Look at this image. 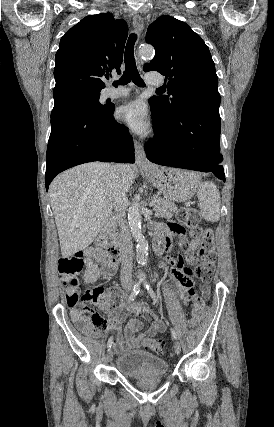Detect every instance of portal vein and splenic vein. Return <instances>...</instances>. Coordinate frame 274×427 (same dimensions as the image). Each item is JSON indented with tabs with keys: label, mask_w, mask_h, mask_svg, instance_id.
Instances as JSON below:
<instances>
[{
	"label": "portal vein and splenic vein",
	"mask_w": 274,
	"mask_h": 427,
	"mask_svg": "<svg viewBox=\"0 0 274 427\" xmlns=\"http://www.w3.org/2000/svg\"><path fill=\"white\" fill-rule=\"evenodd\" d=\"M155 202H150V206H154Z\"/></svg>",
	"instance_id": "1"
}]
</instances>
